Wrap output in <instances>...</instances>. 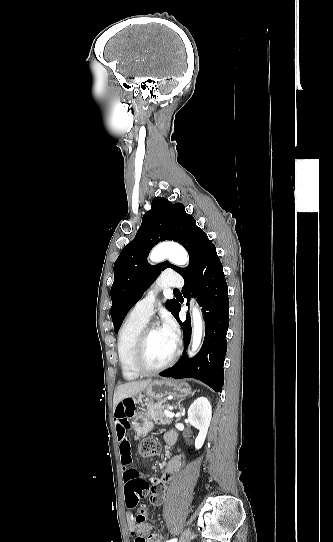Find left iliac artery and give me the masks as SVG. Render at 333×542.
<instances>
[{
  "mask_svg": "<svg viewBox=\"0 0 333 542\" xmlns=\"http://www.w3.org/2000/svg\"><path fill=\"white\" fill-rule=\"evenodd\" d=\"M176 541H177V539H171V540H168L166 542H176Z\"/></svg>",
  "mask_w": 333,
  "mask_h": 542,
  "instance_id": "left-iliac-artery-1",
  "label": "left iliac artery"
}]
</instances>
